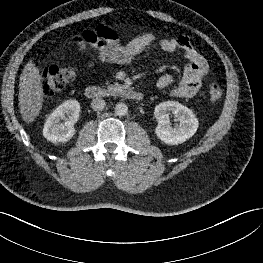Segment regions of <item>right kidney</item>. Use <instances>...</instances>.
I'll return each mask as SVG.
<instances>
[{"instance_id": "right-kidney-1", "label": "right kidney", "mask_w": 263, "mask_h": 263, "mask_svg": "<svg viewBox=\"0 0 263 263\" xmlns=\"http://www.w3.org/2000/svg\"><path fill=\"white\" fill-rule=\"evenodd\" d=\"M80 104L70 99L59 105L47 118L43 136L50 142H67L75 135L74 124L79 119ZM61 120H63L61 122Z\"/></svg>"}]
</instances>
